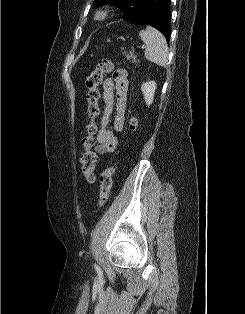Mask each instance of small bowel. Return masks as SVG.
Here are the masks:
<instances>
[{
    "instance_id": "small-bowel-1",
    "label": "small bowel",
    "mask_w": 245,
    "mask_h": 314,
    "mask_svg": "<svg viewBox=\"0 0 245 314\" xmlns=\"http://www.w3.org/2000/svg\"><path fill=\"white\" fill-rule=\"evenodd\" d=\"M102 87L105 108L100 120L95 150L100 155H107L113 153L118 147V138L108 127L111 115L114 114L113 127L116 131L121 132L125 127L128 94L127 70L117 69L112 77L103 81Z\"/></svg>"
}]
</instances>
